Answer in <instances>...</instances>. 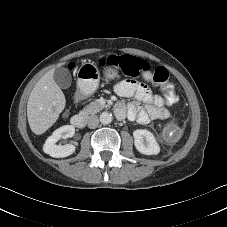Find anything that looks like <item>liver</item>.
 <instances>
[{"mask_svg":"<svg viewBox=\"0 0 227 227\" xmlns=\"http://www.w3.org/2000/svg\"><path fill=\"white\" fill-rule=\"evenodd\" d=\"M54 72L55 69H51L39 79L28 99V123L36 135L46 132L57 121L66 105L65 95L54 81Z\"/></svg>","mask_w":227,"mask_h":227,"instance_id":"6515ba94","label":"liver"}]
</instances>
